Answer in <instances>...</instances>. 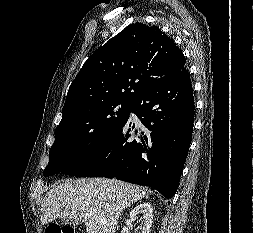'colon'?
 <instances>
[{
	"label": "colon",
	"mask_w": 253,
	"mask_h": 233,
	"mask_svg": "<svg viewBox=\"0 0 253 233\" xmlns=\"http://www.w3.org/2000/svg\"><path fill=\"white\" fill-rule=\"evenodd\" d=\"M45 233H75L72 226H60L58 224H50L47 226Z\"/></svg>",
	"instance_id": "5ec220e1"
}]
</instances>
